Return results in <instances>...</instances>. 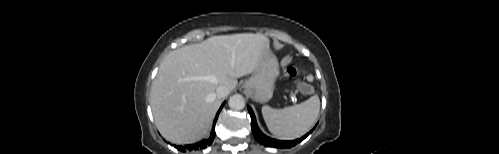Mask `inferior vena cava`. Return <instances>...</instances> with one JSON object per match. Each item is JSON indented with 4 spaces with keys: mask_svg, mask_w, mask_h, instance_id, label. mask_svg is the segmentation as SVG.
<instances>
[{
    "mask_svg": "<svg viewBox=\"0 0 499 154\" xmlns=\"http://www.w3.org/2000/svg\"><path fill=\"white\" fill-rule=\"evenodd\" d=\"M229 94V90L225 86H218L216 89V96L221 99Z\"/></svg>",
    "mask_w": 499,
    "mask_h": 154,
    "instance_id": "1",
    "label": "inferior vena cava"
}]
</instances>
